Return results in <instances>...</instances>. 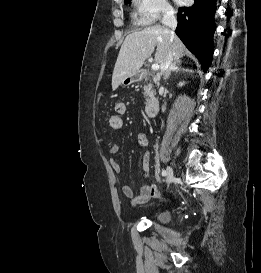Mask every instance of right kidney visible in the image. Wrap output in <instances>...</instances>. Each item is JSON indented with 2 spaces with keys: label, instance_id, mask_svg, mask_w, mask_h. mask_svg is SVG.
<instances>
[{
  "label": "right kidney",
  "instance_id": "obj_1",
  "mask_svg": "<svg viewBox=\"0 0 261 273\" xmlns=\"http://www.w3.org/2000/svg\"><path fill=\"white\" fill-rule=\"evenodd\" d=\"M183 85H184V82H180V83H179V86H183Z\"/></svg>",
  "mask_w": 261,
  "mask_h": 273
}]
</instances>
